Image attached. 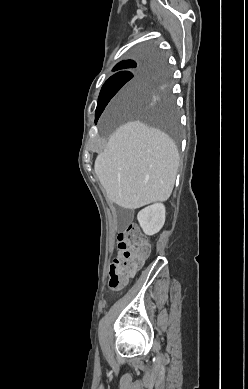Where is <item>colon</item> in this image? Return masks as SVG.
<instances>
[{
  "mask_svg": "<svg viewBox=\"0 0 248 389\" xmlns=\"http://www.w3.org/2000/svg\"><path fill=\"white\" fill-rule=\"evenodd\" d=\"M118 257L109 268V284L113 289L125 287L150 253V244L136 224H130L117 237Z\"/></svg>",
  "mask_w": 248,
  "mask_h": 389,
  "instance_id": "5ec220e1",
  "label": "colon"
}]
</instances>
